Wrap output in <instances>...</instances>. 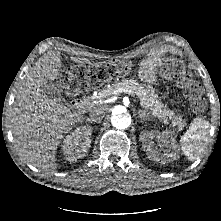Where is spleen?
Segmentation results:
<instances>
[{
    "label": "spleen",
    "mask_w": 221,
    "mask_h": 221,
    "mask_svg": "<svg viewBox=\"0 0 221 221\" xmlns=\"http://www.w3.org/2000/svg\"><path fill=\"white\" fill-rule=\"evenodd\" d=\"M210 123L204 118H196L181 137V149L189 160H195L204 151L209 138Z\"/></svg>",
    "instance_id": "1"
}]
</instances>
